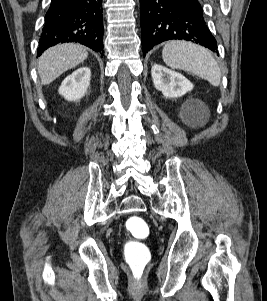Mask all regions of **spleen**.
<instances>
[{
  "label": "spleen",
  "mask_w": 267,
  "mask_h": 301,
  "mask_svg": "<svg viewBox=\"0 0 267 301\" xmlns=\"http://www.w3.org/2000/svg\"><path fill=\"white\" fill-rule=\"evenodd\" d=\"M162 57L167 66L191 72L215 87L221 82V71L213 55L197 44L178 40L167 42Z\"/></svg>",
  "instance_id": "3e777b00"
}]
</instances>
